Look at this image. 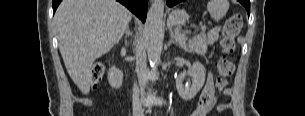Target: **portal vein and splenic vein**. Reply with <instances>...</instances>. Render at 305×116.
Returning <instances> with one entry per match:
<instances>
[{"instance_id": "portal-vein-and-splenic-vein-1", "label": "portal vein and splenic vein", "mask_w": 305, "mask_h": 116, "mask_svg": "<svg viewBox=\"0 0 305 116\" xmlns=\"http://www.w3.org/2000/svg\"><path fill=\"white\" fill-rule=\"evenodd\" d=\"M201 29H202V30H206V26H201ZM176 34H177V36H178V38H179V40H180V43H181V44H185L184 35L181 34V33H176Z\"/></svg>"}]
</instances>
